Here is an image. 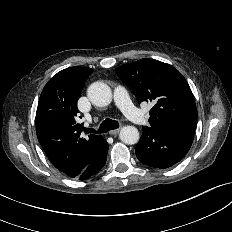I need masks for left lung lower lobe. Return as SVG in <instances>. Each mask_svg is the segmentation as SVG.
<instances>
[{
    "instance_id": "0a47b994",
    "label": "left lung lower lobe",
    "mask_w": 232,
    "mask_h": 232,
    "mask_svg": "<svg viewBox=\"0 0 232 232\" xmlns=\"http://www.w3.org/2000/svg\"><path fill=\"white\" fill-rule=\"evenodd\" d=\"M193 138L192 130L143 127L135 153L140 162L150 167L169 168L182 160L189 151Z\"/></svg>"
}]
</instances>
